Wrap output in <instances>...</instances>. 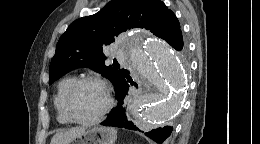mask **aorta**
I'll list each match as a JSON object with an SVG mask.
<instances>
[{
  "mask_svg": "<svg viewBox=\"0 0 260 144\" xmlns=\"http://www.w3.org/2000/svg\"><path fill=\"white\" fill-rule=\"evenodd\" d=\"M124 46L132 70L162 93H143L132 102L140 128L175 115L186 85L184 67L176 52L163 40L147 33L129 36Z\"/></svg>",
  "mask_w": 260,
  "mask_h": 144,
  "instance_id": "obj_1",
  "label": "aorta"
}]
</instances>
